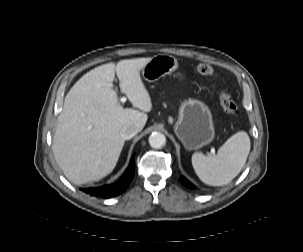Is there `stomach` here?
I'll return each mask as SVG.
<instances>
[{"instance_id":"1","label":"stomach","mask_w":303,"mask_h":252,"mask_svg":"<svg viewBox=\"0 0 303 252\" xmlns=\"http://www.w3.org/2000/svg\"><path fill=\"white\" fill-rule=\"evenodd\" d=\"M177 68L178 61L172 55H156L143 67L142 76L146 81L154 82ZM174 132L186 150L199 149L212 142L215 131L209 107L196 99L184 101Z\"/></svg>"}]
</instances>
